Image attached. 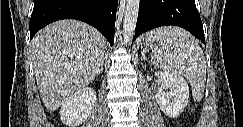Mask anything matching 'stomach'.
Here are the masks:
<instances>
[{
	"label": "stomach",
	"instance_id": "stomach-1",
	"mask_svg": "<svg viewBox=\"0 0 243 127\" xmlns=\"http://www.w3.org/2000/svg\"><path fill=\"white\" fill-rule=\"evenodd\" d=\"M157 31L148 33L145 38H143L144 52L152 51L153 53L159 50V42L154 40L151 36H155Z\"/></svg>",
	"mask_w": 243,
	"mask_h": 127
}]
</instances>
